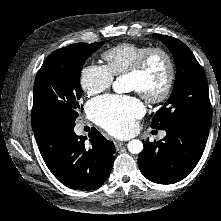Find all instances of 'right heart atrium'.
Listing matches in <instances>:
<instances>
[{
    "label": "right heart atrium",
    "instance_id": "obj_1",
    "mask_svg": "<svg viewBox=\"0 0 221 221\" xmlns=\"http://www.w3.org/2000/svg\"><path fill=\"white\" fill-rule=\"evenodd\" d=\"M114 77L100 64L89 63L81 71V86L86 94L94 96L109 89Z\"/></svg>",
    "mask_w": 221,
    "mask_h": 221
}]
</instances>
